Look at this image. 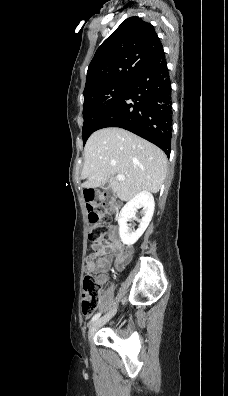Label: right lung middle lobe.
<instances>
[{
  "label": "right lung middle lobe",
  "instance_id": "dd1d6c3e",
  "mask_svg": "<svg viewBox=\"0 0 228 396\" xmlns=\"http://www.w3.org/2000/svg\"><path fill=\"white\" fill-rule=\"evenodd\" d=\"M131 83H111L84 93L83 128L84 143L97 130L99 123L118 104Z\"/></svg>",
  "mask_w": 228,
  "mask_h": 396
}]
</instances>
